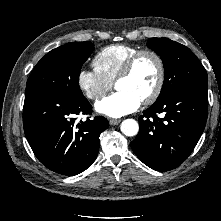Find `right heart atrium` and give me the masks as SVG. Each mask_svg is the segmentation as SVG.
Returning <instances> with one entry per match:
<instances>
[{
  "mask_svg": "<svg viewBox=\"0 0 221 221\" xmlns=\"http://www.w3.org/2000/svg\"><path fill=\"white\" fill-rule=\"evenodd\" d=\"M113 83L104 78L95 69L82 68L77 76V86L83 95L92 101H98L112 88Z\"/></svg>",
  "mask_w": 221,
  "mask_h": 221,
  "instance_id": "obj_1",
  "label": "right heart atrium"
}]
</instances>
